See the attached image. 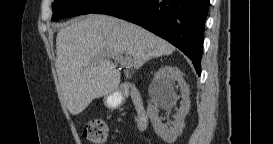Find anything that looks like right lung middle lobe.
<instances>
[{
	"label": "right lung middle lobe",
	"mask_w": 273,
	"mask_h": 144,
	"mask_svg": "<svg viewBox=\"0 0 273 144\" xmlns=\"http://www.w3.org/2000/svg\"><path fill=\"white\" fill-rule=\"evenodd\" d=\"M109 0H55L52 20L92 13Z\"/></svg>",
	"instance_id": "right-lung-middle-lobe-1"
}]
</instances>
